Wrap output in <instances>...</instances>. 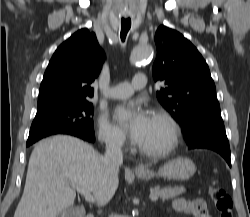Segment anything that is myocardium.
<instances>
[{"mask_svg": "<svg viewBox=\"0 0 250 217\" xmlns=\"http://www.w3.org/2000/svg\"><path fill=\"white\" fill-rule=\"evenodd\" d=\"M153 115L159 117L167 124L170 132L169 142L164 147L156 150L146 149L141 146H138V149L142 154L148 157H163L170 154L177 147L180 140L181 129L177 120L166 110L160 108L155 109Z\"/></svg>", "mask_w": 250, "mask_h": 217, "instance_id": "obj_1", "label": "myocardium"}]
</instances>
